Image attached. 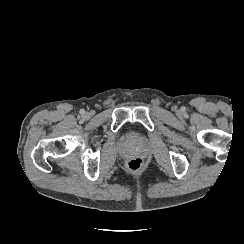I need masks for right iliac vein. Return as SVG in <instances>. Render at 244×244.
Wrapping results in <instances>:
<instances>
[{"label": "right iliac vein", "instance_id": "63e3f726", "mask_svg": "<svg viewBox=\"0 0 244 244\" xmlns=\"http://www.w3.org/2000/svg\"><path fill=\"white\" fill-rule=\"evenodd\" d=\"M84 117H85V118H88V117H89L88 113H86V114L84 115Z\"/></svg>", "mask_w": 244, "mask_h": 244}]
</instances>
